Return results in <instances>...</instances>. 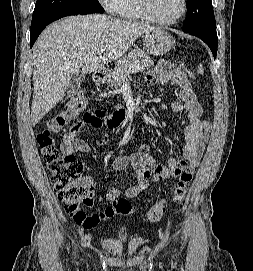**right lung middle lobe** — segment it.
Wrapping results in <instances>:
<instances>
[{
	"instance_id": "1",
	"label": "right lung middle lobe",
	"mask_w": 253,
	"mask_h": 271,
	"mask_svg": "<svg viewBox=\"0 0 253 271\" xmlns=\"http://www.w3.org/2000/svg\"><path fill=\"white\" fill-rule=\"evenodd\" d=\"M65 12L103 13L104 9L98 0H37L31 29L47 18Z\"/></svg>"
}]
</instances>
